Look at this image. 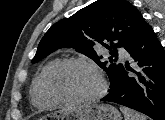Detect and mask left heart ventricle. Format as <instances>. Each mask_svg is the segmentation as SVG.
Instances as JSON below:
<instances>
[{
    "mask_svg": "<svg viewBox=\"0 0 165 120\" xmlns=\"http://www.w3.org/2000/svg\"><path fill=\"white\" fill-rule=\"evenodd\" d=\"M52 85L60 96L74 99L94 94L99 88V80L89 68L72 64L57 71Z\"/></svg>",
    "mask_w": 165,
    "mask_h": 120,
    "instance_id": "b2bd125f",
    "label": "left heart ventricle"
}]
</instances>
